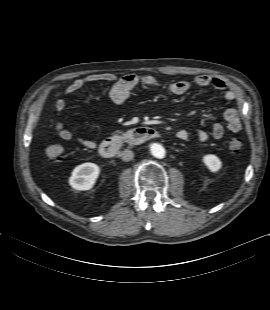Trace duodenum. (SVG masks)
Listing matches in <instances>:
<instances>
[{
  "label": "duodenum",
  "mask_w": 270,
  "mask_h": 310,
  "mask_svg": "<svg viewBox=\"0 0 270 310\" xmlns=\"http://www.w3.org/2000/svg\"><path fill=\"white\" fill-rule=\"evenodd\" d=\"M159 132L150 127L131 129L122 135L106 138L100 143L99 153L104 158L115 156L124 146H136L159 137Z\"/></svg>",
  "instance_id": "1"
}]
</instances>
